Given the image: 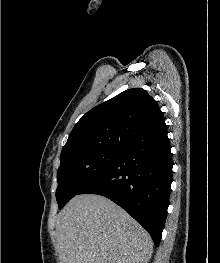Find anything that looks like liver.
Returning a JSON list of instances; mask_svg holds the SVG:
<instances>
[{"mask_svg":"<svg viewBox=\"0 0 220 263\" xmlns=\"http://www.w3.org/2000/svg\"><path fill=\"white\" fill-rule=\"evenodd\" d=\"M60 263H147L150 235L126 211L96 194L72 198L56 220Z\"/></svg>","mask_w":220,"mask_h":263,"instance_id":"obj_1","label":"liver"}]
</instances>
